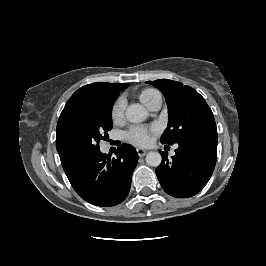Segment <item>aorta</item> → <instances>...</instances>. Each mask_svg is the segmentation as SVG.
Wrapping results in <instances>:
<instances>
[{"label": "aorta", "instance_id": "762f6f07", "mask_svg": "<svg viewBox=\"0 0 266 266\" xmlns=\"http://www.w3.org/2000/svg\"><path fill=\"white\" fill-rule=\"evenodd\" d=\"M126 118L132 123H140L144 121L147 116V110L140 104H131L126 110ZM162 157L159 152L151 151L146 155V163L149 166L157 167L160 165Z\"/></svg>", "mask_w": 266, "mask_h": 266}]
</instances>
